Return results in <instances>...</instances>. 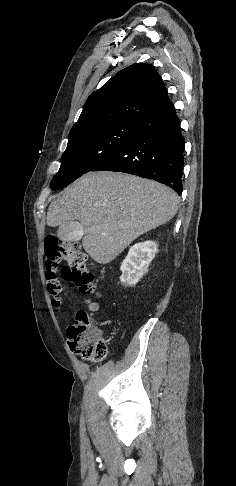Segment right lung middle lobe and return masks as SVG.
<instances>
[{"label": "right lung middle lobe", "instance_id": "dd1d6c3e", "mask_svg": "<svg viewBox=\"0 0 236 486\" xmlns=\"http://www.w3.org/2000/svg\"><path fill=\"white\" fill-rule=\"evenodd\" d=\"M137 127L138 123H120L69 137L51 188H62L91 171L127 143L136 134Z\"/></svg>", "mask_w": 236, "mask_h": 486}]
</instances>
